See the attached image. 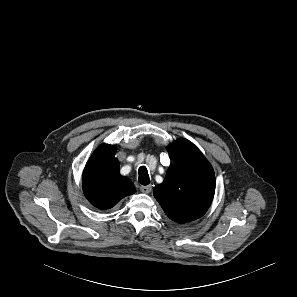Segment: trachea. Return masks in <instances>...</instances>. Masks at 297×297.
Wrapping results in <instances>:
<instances>
[{
	"label": "trachea",
	"mask_w": 297,
	"mask_h": 297,
	"mask_svg": "<svg viewBox=\"0 0 297 297\" xmlns=\"http://www.w3.org/2000/svg\"><path fill=\"white\" fill-rule=\"evenodd\" d=\"M138 171H139V177H138L139 183L142 185L150 184V178H149L147 168L145 166H142L139 168Z\"/></svg>",
	"instance_id": "trachea-1"
}]
</instances>
